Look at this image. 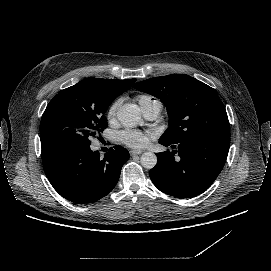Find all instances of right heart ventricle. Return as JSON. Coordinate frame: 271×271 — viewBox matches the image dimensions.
Here are the masks:
<instances>
[{
	"mask_svg": "<svg viewBox=\"0 0 271 271\" xmlns=\"http://www.w3.org/2000/svg\"><path fill=\"white\" fill-rule=\"evenodd\" d=\"M135 98L140 103L141 107L151 106L154 102H158L149 94H138Z\"/></svg>",
	"mask_w": 271,
	"mask_h": 271,
	"instance_id": "1",
	"label": "right heart ventricle"
}]
</instances>
